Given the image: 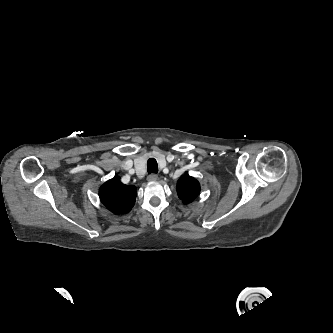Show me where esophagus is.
Instances as JSON below:
<instances>
[{
    "label": "esophagus",
    "instance_id": "esophagus-1",
    "mask_svg": "<svg viewBox=\"0 0 333 333\" xmlns=\"http://www.w3.org/2000/svg\"><path fill=\"white\" fill-rule=\"evenodd\" d=\"M147 179H148V181H157V179H158V175L152 173V174H150V175L148 176Z\"/></svg>",
    "mask_w": 333,
    "mask_h": 333
}]
</instances>
